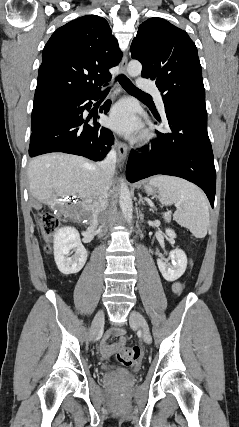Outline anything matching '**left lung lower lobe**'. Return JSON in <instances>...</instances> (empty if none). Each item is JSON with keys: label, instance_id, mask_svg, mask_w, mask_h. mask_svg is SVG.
I'll return each instance as SVG.
<instances>
[{"label": "left lung lower lobe", "instance_id": "0a47b994", "mask_svg": "<svg viewBox=\"0 0 239 427\" xmlns=\"http://www.w3.org/2000/svg\"><path fill=\"white\" fill-rule=\"evenodd\" d=\"M163 101L171 132H157L150 153L131 151L127 180L133 183L156 174L181 177L198 185L214 207L216 172L207 133V112L176 101ZM154 117L162 123L158 113Z\"/></svg>", "mask_w": 239, "mask_h": 427}]
</instances>
